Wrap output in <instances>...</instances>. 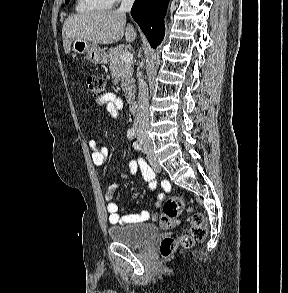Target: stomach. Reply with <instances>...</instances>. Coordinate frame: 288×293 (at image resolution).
<instances>
[{"instance_id":"0dacf381","label":"stomach","mask_w":288,"mask_h":293,"mask_svg":"<svg viewBox=\"0 0 288 293\" xmlns=\"http://www.w3.org/2000/svg\"><path fill=\"white\" fill-rule=\"evenodd\" d=\"M74 54L85 55L86 59L94 64H106L108 57L103 49L97 44H92L83 39H75L72 43Z\"/></svg>"}]
</instances>
